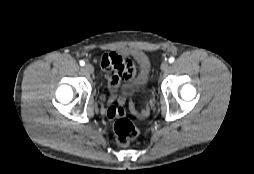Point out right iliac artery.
Here are the masks:
<instances>
[{
    "mask_svg": "<svg viewBox=\"0 0 254 174\" xmlns=\"http://www.w3.org/2000/svg\"><path fill=\"white\" fill-rule=\"evenodd\" d=\"M79 63H80L81 66L85 65V62L83 60H81Z\"/></svg>",
    "mask_w": 254,
    "mask_h": 174,
    "instance_id": "obj_1",
    "label": "right iliac artery"
}]
</instances>
